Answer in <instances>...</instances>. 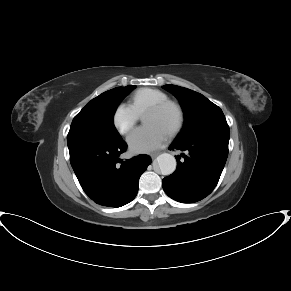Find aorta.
<instances>
[{
	"instance_id": "aorta-1",
	"label": "aorta",
	"mask_w": 291,
	"mask_h": 291,
	"mask_svg": "<svg viewBox=\"0 0 291 291\" xmlns=\"http://www.w3.org/2000/svg\"><path fill=\"white\" fill-rule=\"evenodd\" d=\"M157 165L163 175H170L176 169V159L168 153L160 154L157 159Z\"/></svg>"
}]
</instances>
